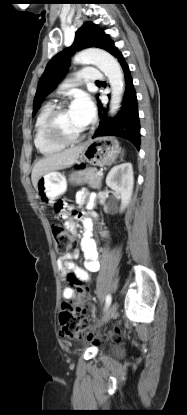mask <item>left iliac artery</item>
Returning <instances> with one entry per match:
<instances>
[{
	"label": "left iliac artery",
	"mask_w": 187,
	"mask_h": 415,
	"mask_svg": "<svg viewBox=\"0 0 187 415\" xmlns=\"http://www.w3.org/2000/svg\"><path fill=\"white\" fill-rule=\"evenodd\" d=\"M111 301H112V297H111V295H107V296H106V304H105L106 309L110 306Z\"/></svg>",
	"instance_id": "44dca946"
}]
</instances>
